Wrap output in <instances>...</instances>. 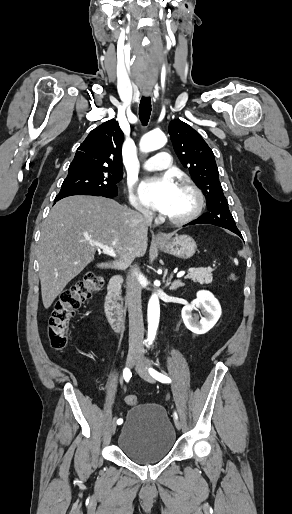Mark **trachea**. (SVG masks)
<instances>
[{
	"label": "trachea",
	"instance_id": "3493384b",
	"mask_svg": "<svg viewBox=\"0 0 292 514\" xmlns=\"http://www.w3.org/2000/svg\"><path fill=\"white\" fill-rule=\"evenodd\" d=\"M152 111L150 97H142L139 105V118L142 125H147Z\"/></svg>",
	"mask_w": 292,
	"mask_h": 514
}]
</instances>
